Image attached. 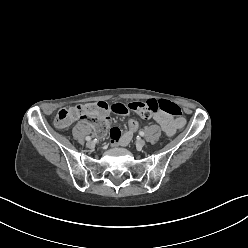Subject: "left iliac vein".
Returning <instances> with one entry per match:
<instances>
[{"instance_id":"4c4485c4","label":"left iliac vein","mask_w":248,"mask_h":248,"mask_svg":"<svg viewBox=\"0 0 248 248\" xmlns=\"http://www.w3.org/2000/svg\"><path fill=\"white\" fill-rule=\"evenodd\" d=\"M146 142L143 139H138L136 142L137 147L142 148L144 147Z\"/></svg>"}]
</instances>
